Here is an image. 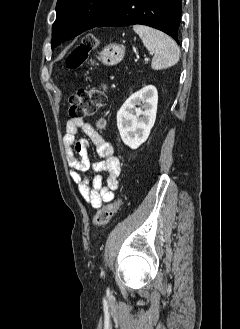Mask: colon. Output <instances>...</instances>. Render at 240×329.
<instances>
[{
	"label": "colon",
	"mask_w": 240,
	"mask_h": 329,
	"mask_svg": "<svg viewBox=\"0 0 240 329\" xmlns=\"http://www.w3.org/2000/svg\"><path fill=\"white\" fill-rule=\"evenodd\" d=\"M97 41L93 35H87L82 42L73 49L66 59L70 70H77L87 60L89 53L96 47ZM106 103L105 90L102 87H92L76 91L70 97L69 113L73 118L89 117ZM102 127L103 121L99 122ZM121 199H116L100 208L93 216L94 226H102L109 222L112 216L122 207Z\"/></svg>",
	"instance_id": "colon-1"
}]
</instances>
